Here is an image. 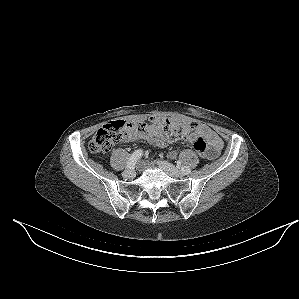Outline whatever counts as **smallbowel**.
Segmentation results:
<instances>
[{"label": "small bowel", "instance_id": "1", "mask_svg": "<svg viewBox=\"0 0 299 299\" xmlns=\"http://www.w3.org/2000/svg\"><path fill=\"white\" fill-rule=\"evenodd\" d=\"M159 119H154L153 122L147 126L145 130L136 128L130 129L123 138V141H134L137 139H147L154 145L165 146L169 143L168 138L164 135L162 128L158 124ZM198 137H202L208 144V159L215 158L220 152L223 142L222 139L207 125L201 123H194L192 132L187 137V142L192 143ZM170 159L176 158V153L171 151L168 153Z\"/></svg>", "mask_w": 299, "mask_h": 299}]
</instances>
